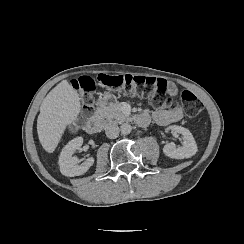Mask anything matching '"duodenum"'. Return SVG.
<instances>
[{"label": "duodenum", "instance_id": "obj_1", "mask_svg": "<svg viewBox=\"0 0 244 244\" xmlns=\"http://www.w3.org/2000/svg\"><path fill=\"white\" fill-rule=\"evenodd\" d=\"M104 100L101 99L96 103V109L97 111L101 112L104 108ZM137 121L141 124V125H145L148 122V117H146L144 114L139 115L137 117ZM103 123V117L101 115L95 116V117H91L87 120L86 124H85V128L86 131L89 133H97L101 127Z\"/></svg>", "mask_w": 244, "mask_h": 244}]
</instances>
